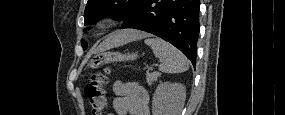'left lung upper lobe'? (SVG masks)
<instances>
[{"instance_id":"obj_1","label":"left lung upper lobe","mask_w":285,"mask_h":115,"mask_svg":"<svg viewBox=\"0 0 285 115\" xmlns=\"http://www.w3.org/2000/svg\"><path fill=\"white\" fill-rule=\"evenodd\" d=\"M139 0H88L84 12L85 25L95 24L101 17L110 16L123 20ZM83 49L87 43L81 41Z\"/></svg>"}]
</instances>
